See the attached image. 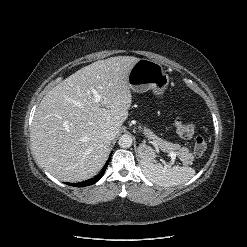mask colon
<instances>
[{
	"mask_svg": "<svg viewBox=\"0 0 247 247\" xmlns=\"http://www.w3.org/2000/svg\"><path fill=\"white\" fill-rule=\"evenodd\" d=\"M178 134L184 138L189 139L194 135L196 125L191 118H178L175 122ZM207 148L206 139L203 136H197L194 140V153L197 156L202 155Z\"/></svg>",
	"mask_w": 247,
	"mask_h": 247,
	"instance_id": "1",
	"label": "colon"
}]
</instances>
